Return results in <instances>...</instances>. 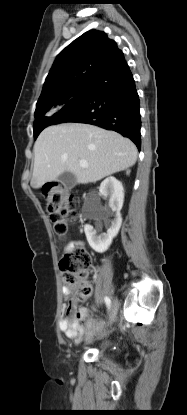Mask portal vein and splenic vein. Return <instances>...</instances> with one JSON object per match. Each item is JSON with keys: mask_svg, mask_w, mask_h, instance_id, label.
Segmentation results:
<instances>
[{"mask_svg": "<svg viewBox=\"0 0 187 415\" xmlns=\"http://www.w3.org/2000/svg\"><path fill=\"white\" fill-rule=\"evenodd\" d=\"M79 164H80V166H81V167H83V168L88 167V163H87V161H86V160H80V161H79Z\"/></svg>", "mask_w": 187, "mask_h": 415, "instance_id": "1", "label": "portal vein and splenic vein"}]
</instances>
